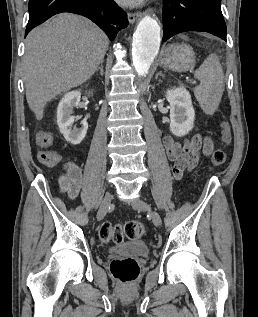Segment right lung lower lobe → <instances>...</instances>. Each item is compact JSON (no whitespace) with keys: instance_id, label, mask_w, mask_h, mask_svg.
<instances>
[{"instance_id":"98d812e1","label":"right lung lower lobe","mask_w":258,"mask_h":317,"mask_svg":"<svg viewBox=\"0 0 258 317\" xmlns=\"http://www.w3.org/2000/svg\"><path fill=\"white\" fill-rule=\"evenodd\" d=\"M29 21L25 36L51 16L70 12L97 24L112 41L120 28L128 25L127 14L113 0H29Z\"/></svg>"}]
</instances>
